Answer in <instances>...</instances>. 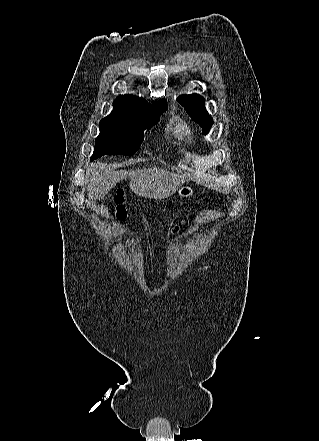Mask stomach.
<instances>
[{
    "mask_svg": "<svg viewBox=\"0 0 319 441\" xmlns=\"http://www.w3.org/2000/svg\"><path fill=\"white\" fill-rule=\"evenodd\" d=\"M194 194V190L189 186H182L178 190V195L180 197H190Z\"/></svg>",
    "mask_w": 319,
    "mask_h": 441,
    "instance_id": "obj_1",
    "label": "stomach"
}]
</instances>
